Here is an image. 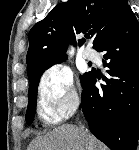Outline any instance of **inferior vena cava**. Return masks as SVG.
<instances>
[{
	"mask_svg": "<svg viewBox=\"0 0 139 150\" xmlns=\"http://www.w3.org/2000/svg\"><path fill=\"white\" fill-rule=\"evenodd\" d=\"M79 131H80L82 134L85 133V127H84V125L80 124V126H79Z\"/></svg>",
	"mask_w": 139,
	"mask_h": 150,
	"instance_id": "obj_1",
	"label": "inferior vena cava"
}]
</instances>
